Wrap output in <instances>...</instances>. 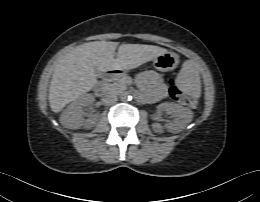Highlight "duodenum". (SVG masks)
<instances>
[{
	"label": "duodenum",
	"mask_w": 260,
	"mask_h": 202,
	"mask_svg": "<svg viewBox=\"0 0 260 202\" xmlns=\"http://www.w3.org/2000/svg\"><path fill=\"white\" fill-rule=\"evenodd\" d=\"M123 72L121 69L119 68H110L105 74H104V82H108L114 78H116L117 76L121 75ZM97 90H101V86L97 85L95 87Z\"/></svg>",
	"instance_id": "410a0bca"
}]
</instances>
